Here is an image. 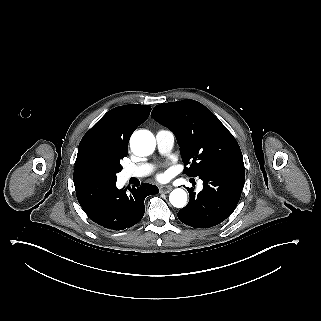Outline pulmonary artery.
I'll return each instance as SVG.
<instances>
[{
	"label": "pulmonary artery",
	"mask_w": 321,
	"mask_h": 321,
	"mask_svg": "<svg viewBox=\"0 0 321 321\" xmlns=\"http://www.w3.org/2000/svg\"><path fill=\"white\" fill-rule=\"evenodd\" d=\"M156 140L159 150L162 153L169 152L175 141L173 131L169 129H159L156 133ZM152 171V166L148 163H139L131 167H125L119 174L121 180H128L132 177L143 178L148 176Z\"/></svg>",
	"instance_id": "1"
}]
</instances>
